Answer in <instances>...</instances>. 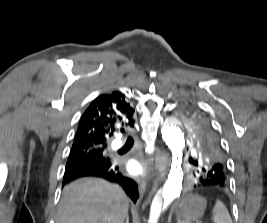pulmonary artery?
Wrapping results in <instances>:
<instances>
[{
    "instance_id": "pulmonary-artery-1",
    "label": "pulmonary artery",
    "mask_w": 267,
    "mask_h": 223,
    "mask_svg": "<svg viewBox=\"0 0 267 223\" xmlns=\"http://www.w3.org/2000/svg\"><path fill=\"white\" fill-rule=\"evenodd\" d=\"M120 146H121L120 143L115 144V147H116V148H118V147H120Z\"/></svg>"
}]
</instances>
